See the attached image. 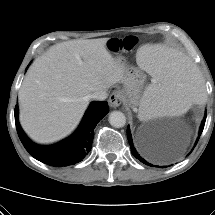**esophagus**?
<instances>
[{
	"label": "esophagus",
	"instance_id": "1",
	"mask_svg": "<svg viewBox=\"0 0 215 215\" xmlns=\"http://www.w3.org/2000/svg\"><path fill=\"white\" fill-rule=\"evenodd\" d=\"M123 100L122 93L118 90H115L112 92V94L109 96V104L112 108H116L121 105Z\"/></svg>",
	"mask_w": 215,
	"mask_h": 215
}]
</instances>
